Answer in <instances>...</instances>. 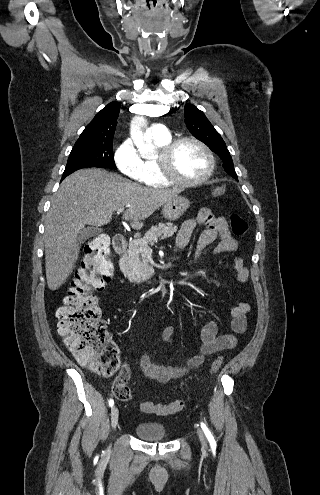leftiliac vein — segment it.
<instances>
[{"label": "left iliac vein", "instance_id": "1", "mask_svg": "<svg viewBox=\"0 0 320 495\" xmlns=\"http://www.w3.org/2000/svg\"><path fill=\"white\" fill-rule=\"evenodd\" d=\"M197 434H198V438L200 440V443L202 445V447L204 449H207L208 448V444H207V439H206V436L204 434V432L201 430V429H197Z\"/></svg>", "mask_w": 320, "mask_h": 495}]
</instances>
